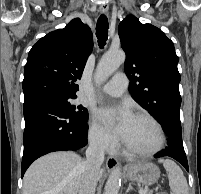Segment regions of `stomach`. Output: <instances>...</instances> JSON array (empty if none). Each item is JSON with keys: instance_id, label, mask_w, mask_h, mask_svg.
<instances>
[{"instance_id": "stomach-1", "label": "stomach", "mask_w": 201, "mask_h": 194, "mask_svg": "<svg viewBox=\"0 0 201 194\" xmlns=\"http://www.w3.org/2000/svg\"><path fill=\"white\" fill-rule=\"evenodd\" d=\"M124 175L130 181L143 185H152L160 177L159 168L149 162L139 161L124 168Z\"/></svg>"}]
</instances>
